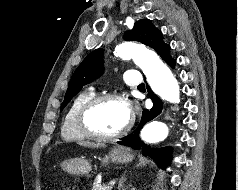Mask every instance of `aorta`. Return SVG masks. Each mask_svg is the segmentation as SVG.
<instances>
[{"instance_id":"762f6f07","label":"aorta","mask_w":238,"mask_h":190,"mask_svg":"<svg viewBox=\"0 0 238 190\" xmlns=\"http://www.w3.org/2000/svg\"><path fill=\"white\" fill-rule=\"evenodd\" d=\"M115 55L122 59H133L147 77L152 91L170 103H179V85L171 70L158 55L144 45L123 42L115 49ZM168 127L162 121H151L141 131V138L147 143H159L168 136Z\"/></svg>"}]
</instances>
